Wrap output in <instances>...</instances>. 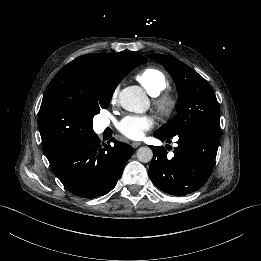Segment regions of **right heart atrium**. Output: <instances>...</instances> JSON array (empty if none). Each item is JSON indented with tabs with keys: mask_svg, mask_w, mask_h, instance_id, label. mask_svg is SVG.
<instances>
[{
	"mask_svg": "<svg viewBox=\"0 0 261 261\" xmlns=\"http://www.w3.org/2000/svg\"><path fill=\"white\" fill-rule=\"evenodd\" d=\"M117 95H118V92H117V90H115V91L112 93V95H111V102H114V101L116 100Z\"/></svg>",
	"mask_w": 261,
	"mask_h": 261,
	"instance_id": "1",
	"label": "right heart atrium"
}]
</instances>
